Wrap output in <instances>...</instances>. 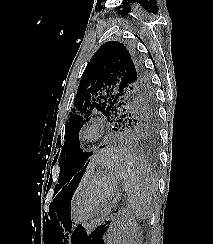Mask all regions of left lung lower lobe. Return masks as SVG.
I'll use <instances>...</instances> for the list:
<instances>
[{"mask_svg":"<svg viewBox=\"0 0 213 244\" xmlns=\"http://www.w3.org/2000/svg\"><path fill=\"white\" fill-rule=\"evenodd\" d=\"M122 128L119 129V125H118V126H114L113 129H114V131L118 130V131H121V132H128L129 133V131H124V129H122ZM155 140H156V138L154 140H150V142H151L150 145L155 144ZM90 155H91L90 153H85V152H81L79 154L77 162H76V165H75V168H74V175H73V178H72V180L70 182L71 184H76L77 185L80 182L81 177H82V175H83V173H84V171H85V169H86V167H87V165L89 163L88 159H89Z\"/></svg>","mask_w":213,"mask_h":244,"instance_id":"0a47b994","label":"left lung lower lobe"}]
</instances>
